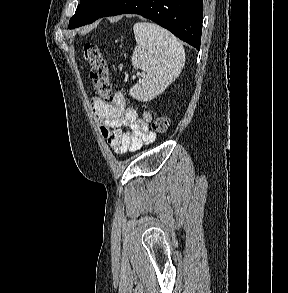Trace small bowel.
Here are the masks:
<instances>
[{"instance_id":"1","label":"small bowel","mask_w":288,"mask_h":293,"mask_svg":"<svg viewBox=\"0 0 288 293\" xmlns=\"http://www.w3.org/2000/svg\"><path fill=\"white\" fill-rule=\"evenodd\" d=\"M92 108L102 136L115 153L136 152L155 141L156 136L149 128L151 114L144 112L140 119L136 110L127 106L122 92L116 91L110 102L95 97ZM124 127L130 131H124Z\"/></svg>"}]
</instances>
